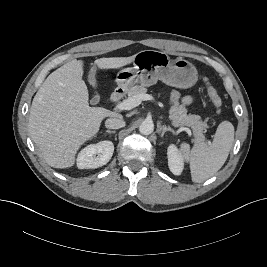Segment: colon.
<instances>
[{
    "mask_svg": "<svg viewBox=\"0 0 267 267\" xmlns=\"http://www.w3.org/2000/svg\"><path fill=\"white\" fill-rule=\"evenodd\" d=\"M207 92H208V96H209V98L211 99L213 105H214L218 110H220L221 105H222V99H221V97L219 96L217 90H216L212 85L208 84Z\"/></svg>",
    "mask_w": 267,
    "mask_h": 267,
    "instance_id": "5ec220e1",
    "label": "colon"
}]
</instances>
